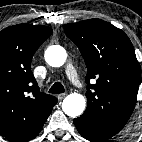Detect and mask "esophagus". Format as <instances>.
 Listing matches in <instances>:
<instances>
[{"instance_id":"esophagus-1","label":"esophagus","mask_w":142,"mask_h":142,"mask_svg":"<svg viewBox=\"0 0 142 142\" xmlns=\"http://www.w3.org/2000/svg\"><path fill=\"white\" fill-rule=\"evenodd\" d=\"M66 95H67L66 93L59 94V95H57V99H58L59 101H61L62 99H64V97H65Z\"/></svg>"}]
</instances>
